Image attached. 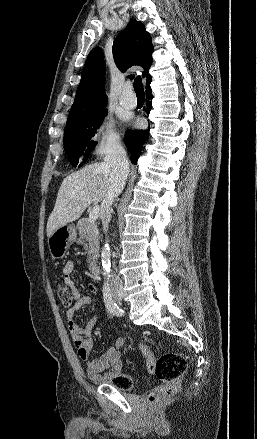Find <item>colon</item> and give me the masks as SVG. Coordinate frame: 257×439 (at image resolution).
Listing matches in <instances>:
<instances>
[{
	"label": "colon",
	"instance_id": "5ec220e1",
	"mask_svg": "<svg viewBox=\"0 0 257 439\" xmlns=\"http://www.w3.org/2000/svg\"><path fill=\"white\" fill-rule=\"evenodd\" d=\"M57 293L61 303L69 307L75 300L73 290L66 284L57 285ZM140 350L146 359L148 369L161 381L150 395L149 402L157 403L170 397L178 388L180 378L187 369L186 359L179 353H167L154 359L147 345L141 344ZM113 385L122 390L133 387V379L126 373H119L112 379Z\"/></svg>",
	"mask_w": 257,
	"mask_h": 439
}]
</instances>
